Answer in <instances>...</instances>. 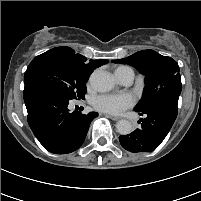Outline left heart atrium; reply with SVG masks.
Listing matches in <instances>:
<instances>
[{
	"instance_id": "obj_1",
	"label": "left heart atrium",
	"mask_w": 201,
	"mask_h": 201,
	"mask_svg": "<svg viewBox=\"0 0 201 201\" xmlns=\"http://www.w3.org/2000/svg\"><path fill=\"white\" fill-rule=\"evenodd\" d=\"M133 98L126 93L98 95L93 99V106L98 111L119 114L133 105Z\"/></svg>"
}]
</instances>
